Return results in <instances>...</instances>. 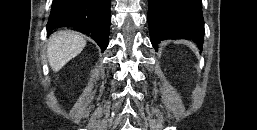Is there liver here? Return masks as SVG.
<instances>
[{"instance_id":"1","label":"liver","mask_w":257,"mask_h":130,"mask_svg":"<svg viewBox=\"0 0 257 130\" xmlns=\"http://www.w3.org/2000/svg\"><path fill=\"white\" fill-rule=\"evenodd\" d=\"M86 46V40L73 31L54 33L48 42L47 57L50 67L58 72Z\"/></svg>"}]
</instances>
